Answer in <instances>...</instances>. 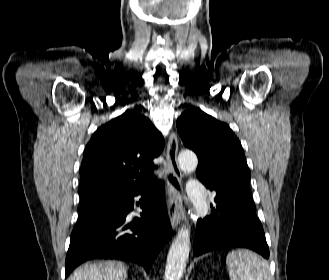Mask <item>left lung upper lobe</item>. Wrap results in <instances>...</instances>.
Here are the masks:
<instances>
[{
    "label": "left lung upper lobe",
    "mask_w": 329,
    "mask_h": 280,
    "mask_svg": "<svg viewBox=\"0 0 329 280\" xmlns=\"http://www.w3.org/2000/svg\"><path fill=\"white\" fill-rule=\"evenodd\" d=\"M177 129L198 156L197 178L216 192L215 198L249 190L251 174L241 143L226 123L194 108L179 117Z\"/></svg>",
    "instance_id": "5c2ea615"
}]
</instances>
